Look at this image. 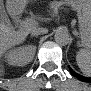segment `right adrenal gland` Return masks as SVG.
Segmentation results:
<instances>
[{
	"label": "right adrenal gland",
	"instance_id": "1",
	"mask_svg": "<svg viewBox=\"0 0 91 91\" xmlns=\"http://www.w3.org/2000/svg\"><path fill=\"white\" fill-rule=\"evenodd\" d=\"M33 36H35V37H36V36H38V35H31V37H33Z\"/></svg>",
	"mask_w": 91,
	"mask_h": 91
}]
</instances>
